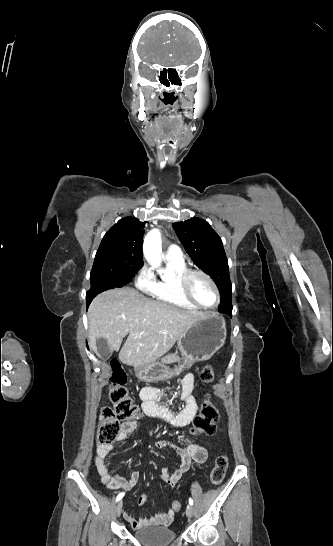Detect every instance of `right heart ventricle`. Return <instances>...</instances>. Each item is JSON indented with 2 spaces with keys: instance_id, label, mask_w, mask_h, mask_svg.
<instances>
[{
  "instance_id": "obj_1",
  "label": "right heart ventricle",
  "mask_w": 333,
  "mask_h": 546,
  "mask_svg": "<svg viewBox=\"0 0 333 546\" xmlns=\"http://www.w3.org/2000/svg\"><path fill=\"white\" fill-rule=\"evenodd\" d=\"M186 269L187 266L184 260H166L167 274L157 282V289L154 294L158 302L191 311L199 309L186 300L179 289L178 278Z\"/></svg>"
}]
</instances>
